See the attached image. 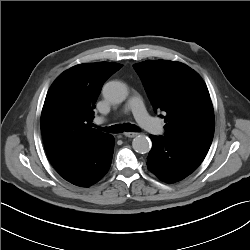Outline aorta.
I'll return each mask as SVG.
<instances>
[{"label": "aorta", "instance_id": "762f6f07", "mask_svg": "<svg viewBox=\"0 0 250 250\" xmlns=\"http://www.w3.org/2000/svg\"><path fill=\"white\" fill-rule=\"evenodd\" d=\"M102 94L105 100L112 104H119L125 101L128 96L127 86L120 81H110L103 86ZM133 149L140 154L148 153L151 149V142L144 135L136 136L132 141Z\"/></svg>", "mask_w": 250, "mask_h": 250}]
</instances>
